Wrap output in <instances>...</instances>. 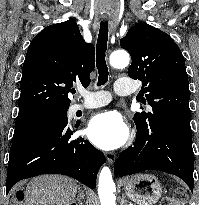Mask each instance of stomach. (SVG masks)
<instances>
[{
    "label": "stomach",
    "instance_id": "obj_1",
    "mask_svg": "<svg viewBox=\"0 0 199 205\" xmlns=\"http://www.w3.org/2000/svg\"><path fill=\"white\" fill-rule=\"evenodd\" d=\"M127 196L138 205H154L162 195V186L152 174L139 173L125 178Z\"/></svg>",
    "mask_w": 199,
    "mask_h": 205
}]
</instances>
